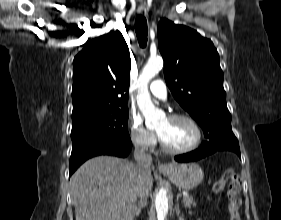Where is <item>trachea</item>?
Listing matches in <instances>:
<instances>
[{
	"label": "trachea",
	"instance_id": "3493384b",
	"mask_svg": "<svg viewBox=\"0 0 281 220\" xmlns=\"http://www.w3.org/2000/svg\"><path fill=\"white\" fill-rule=\"evenodd\" d=\"M135 32L142 48L147 44V21L145 17L138 16L135 20Z\"/></svg>",
	"mask_w": 281,
	"mask_h": 220
}]
</instances>
